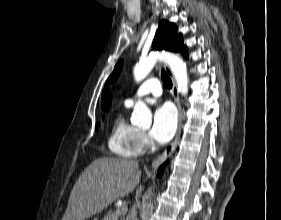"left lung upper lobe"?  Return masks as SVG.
<instances>
[{
	"label": "left lung upper lobe",
	"instance_id": "1",
	"mask_svg": "<svg viewBox=\"0 0 281 220\" xmlns=\"http://www.w3.org/2000/svg\"><path fill=\"white\" fill-rule=\"evenodd\" d=\"M152 46L156 49H165L174 52H181L185 57H187V49L183 45V40L181 34H178V30L173 23H169L166 20H162L159 23V28L156 32L155 38L153 40ZM122 61H119L113 73L108 78L106 84L113 82L119 75L121 70Z\"/></svg>",
	"mask_w": 281,
	"mask_h": 220
}]
</instances>
